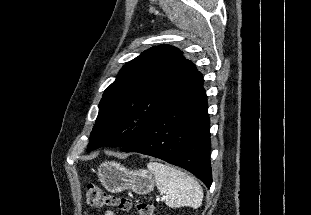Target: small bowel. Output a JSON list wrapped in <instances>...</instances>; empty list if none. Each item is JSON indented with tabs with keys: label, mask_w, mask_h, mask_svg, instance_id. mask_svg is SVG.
Returning <instances> with one entry per match:
<instances>
[{
	"label": "small bowel",
	"mask_w": 311,
	"mask_h": 215,
	"mask_svg": "<svg viewBox=\"0 0 311 215\" xmlns=\"http://www.w3.org/2000/svg\"><path fill=\"white\" fill-rule=\"evenodd\" d=\"M104 215H116L115 212L109 210L104 213Z\"/></svg>",
	"instance_id": "obj_1"
}]
</instances>
